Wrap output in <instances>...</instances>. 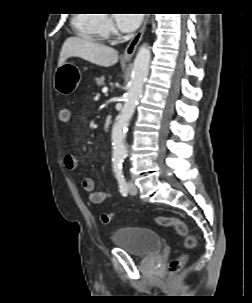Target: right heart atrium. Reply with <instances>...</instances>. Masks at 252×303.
I'll list each match as a JSON object with an SVG mask.
<instances>
[{"mask_svg": "<svg viewBox=\"0 0 252 303\" xmlns=\"http://www.w3.org/2000/svg\"><path fill=\"white\" fill-rule=\"evenodd\" d=\"M103 29L106 33H110L113 30L112 22L107 17H105L103 20Z\"/></svg>", "mask_w": 252, "mask_h": 303, "instance_id": "d8ad5b80", "label": "right heart atrium"}]
</instances>
